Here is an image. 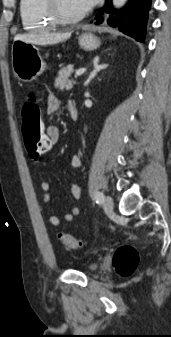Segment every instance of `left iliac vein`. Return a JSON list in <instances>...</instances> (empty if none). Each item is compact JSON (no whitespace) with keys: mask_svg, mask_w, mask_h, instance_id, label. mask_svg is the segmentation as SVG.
Instances as JSON below:
<instances>
[{"mask_svg":"<svg viewBox=\"0 0 171 337\" xmlns=\"http://www.w3.org/2000/svg\"><path fill=\"white\" fill-rule=\"evenodd\" d=\"M103 207L105 211L112 212L114 209V202L110 196H106L104 199Z\"/></svg>","mask_w":171,"mask_h":337,"instance_id":"4c4485c4","label":"left iliac vein"}]
</instances>
